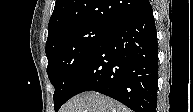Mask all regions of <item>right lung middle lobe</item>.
I'll use <instances>...</instances> for the list:
<instances>
[{
  "instance_id": "dd1d6c3e",
  "label": "right lung middle lobe",
  "mask_w": 193,
  "mask_h": 112,
  "mask_svg": "<svg viewBox=\"0 0 193 112\" xmlns=\"http://www.w3.org/2000/svg\"><path fill=\"white\" fill-rule=\"evenodd\" d=\"M109 27L80 23L57 32L46 42L47 72L55 88L54 109L67 101L70 88L81 66Z\"/></svg>"
}]
</instances>
